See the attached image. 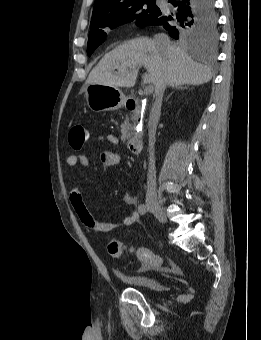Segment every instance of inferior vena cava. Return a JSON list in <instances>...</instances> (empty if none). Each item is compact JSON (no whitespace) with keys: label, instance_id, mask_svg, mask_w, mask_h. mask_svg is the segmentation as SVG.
Here are the masks:
<instances>
[{"label":"inferior vena cava","instance_id":"602c4592","mask_svg":"<svg viewBox=\"0 0 261 340\" xmlns=\"http://www.w3.org/2000/svg\"><path fill=\"white\" fill-rule=\"evenodd\" d=\"M154 42L156 44L157 49L160 51H166L169 49L171 43L167 35L165 34H157L154 37ZM166 85L157 86L155 89V102L152 106L149 123H148V135H149V166H148V174H147V191L146 197L148 199L157 198L156 192V170H155V156H154V145H155V135L156 128L160 118L161 113V105L163 100V94L165 91Z\"/></svg>","mask_w":261,"mask_h":340}]
</instances>
